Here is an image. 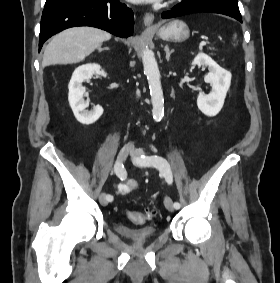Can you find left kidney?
I'll list each match as a JSON object with an SVG mask.
<instances>
[{"label":"left kidney","instance_id":"obj_1","mask_svg":"<svg viewBox=\"0 0 280 283\" xmlns=\"http://www.w3.org/2000/svg\"><path fill=\"white\" fill-rule=\"evenodd\" d=\"M192 65L208 66L209 73L204 81L212 87L209 94L200 92L197 97L199 110L207 116L217 115L223 107L226 94L231 84V73L220 67L211 57L199 53L193 60Z\"/></svg>","mask_w":280,"mask_h":283}]
</instances>
